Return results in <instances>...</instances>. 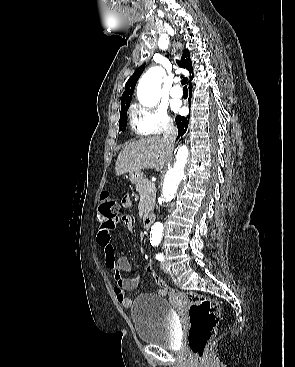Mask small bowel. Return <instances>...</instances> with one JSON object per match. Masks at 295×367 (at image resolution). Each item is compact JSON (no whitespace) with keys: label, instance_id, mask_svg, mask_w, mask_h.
I'll use <instances>...</instances> for the list:
<instances>
[{"label":"small bowel","instance_id":"small-bowel-1","mask_svg":"<svg viewBox=\"0 0 295 367\" xmlns=\"http://www.w3.org/2000/svg\"><path fill=\"white\" fill-rule=\"evenodd\" d=\"M124 207H129L131 201L128 195H125L122 200ZM123 224L127 230L133 231L134 224L130 215L116 217L109 222L99 221L96 241L104 252L105 265L113 273L114 287L113 291L117 301L125 308L132 304V299L126 295L127 292L135 290L140 282L138 275L123 276L122 273H133L132 265L126 256L116 257L112 244V231L117 224ZM151 266V265H150Z\"/></svg>","mask_w":295,"mask_h":367}]
</instances>
